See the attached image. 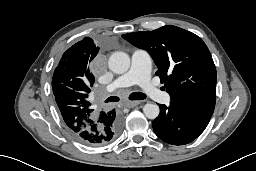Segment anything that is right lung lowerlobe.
I'll use <instances>...</instances> for the list:
<instances>
[{
    "instance_id": "right-lung-lower-lobe-1",
    "label": "right lung lower lobe",
    "mask_w": 256,
    "mask_h": 171,
    "mask_svg": "<svg viewBox=\"0 0 256 171\" xmlns=\"http://www.w3.org/2000/svg\"><path fill=\"white\" fill-rule=\"evenodd\" d=\"M100 123L94 131H83L75 135L81 142L88 145H102L111 141L120 131L122 118L115 109L103 111Z\"/></svg>"
}]
</instances>
